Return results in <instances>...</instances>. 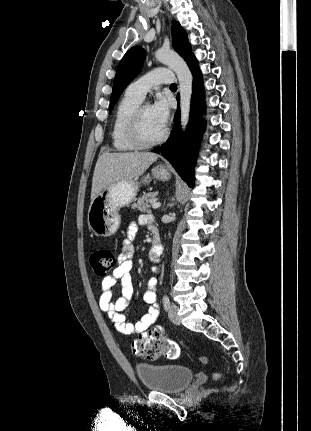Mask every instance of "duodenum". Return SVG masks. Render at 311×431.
Here are the masks:
<instances>
[{"instance_id": "1", "label": "duodenum", "mask_w": 311, "mask_h": 431, "mask_svg": "<svg viewBox=\"0 0 311 431\" xmlns=\"http://www.w3.org/2000/svg\"><path fill=\"white\" fill-rule=\"evenodd\" d=\"M152 233H153V237H152V245L150 248V254L153 257H157L162 252L160 235H159V232L157 231V229H153Z\"/></svg>"}]
</instances>
